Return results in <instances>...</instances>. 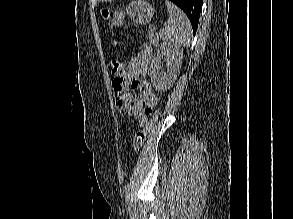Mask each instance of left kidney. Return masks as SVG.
Returning <instances> with one entry per match:
<instances>
[{
	"label": "left kidney",
	"mask_w": 293,
	"mask_h": 219,
	"mask_svg": "<svg viewBox=\"0 0 293 219\" xmlns=\"http://www.w3.org/2000/svg\"><path fill=\"white\" fill-rule=\"evenodd\" d=\"M166 61V71L161 60ZM183 59V48L173 43H163L157 50L150 65L151 83L158 92H165L175 82Z\"/></svg>",
	"instance_id": "1"
}]
</instances>
